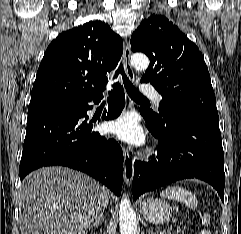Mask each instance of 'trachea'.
<instances>
[{"label":"trachea","mask_w":241,"mask_h":234,"mask_svg":"<svg viewBox=\"0 0 241 234\" xmlns=\"http://www.w3.org/2000/svg\"><path fill=\"white\" fill-rule=\"evenodd\" d=\"M121 73L122 76H123V83H124V86L126 88V91L127 93L129 94V96L133 99H136V100H143L145 99V97L143 95H141L136 89L135 87L133 86V84L130 82V80L128 79V77L126 76V74L124 73V70H123V66L122 64L120 65V67L118 68V70L115 72V77H117V75Z\"/></svg>","instance_id":"3493384b"}]
</instances>
